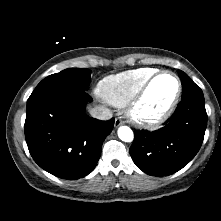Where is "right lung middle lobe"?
<instances>
[{
  "mask_svg": "<svg viewBox=\"0 0 221 221\" xmlns=\"http://www.w3.org/2000/svg\"><path fill=\"white\" fill-rule=\"evenodd\" d=\"M91 70L69 68L43 79L30 95L27 102L34 101L47 94L63 90H86L90 84Z\"/></svg>",
  "mask_w": 221,
  "mask_h": 221,
  "instance_id": "dd1d6c3e",
  "label": "right lung middle lobe"
}]
</instances>
